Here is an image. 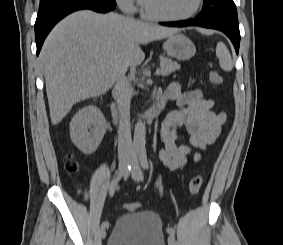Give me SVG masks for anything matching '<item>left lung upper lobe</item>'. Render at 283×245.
I'll use <instances>...</instances> for the list:
<instances>
[{
	"instance_id": "obj_1",
	"label": "left lung upper lobe",
	"mask_w": 283,
	"mask_h": 245,
	"mask_svg": "<svg viewBox=\"0 0 283 245\" xmlns=\"http://www.w3.org/2000/svg\"><path fill=\"white\" fill-rule=\"evenodd\" d=\"M196 19L239 30L237 10L233 0H204L203 9Z\"/></svg>"
}]
</instances>
